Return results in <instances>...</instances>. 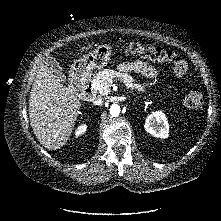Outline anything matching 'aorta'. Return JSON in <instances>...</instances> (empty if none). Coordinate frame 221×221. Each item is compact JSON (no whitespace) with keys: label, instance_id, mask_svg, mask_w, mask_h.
<instances>
[{"label":"aorta","instance_id":"762f6f07","mask_svg":"<svg viewBox=\"0 0 221 221\" xmlns=\"http://www.w3.org/2000/svg\"><path fill=\"white\" fill-rule=\"evenodd\" d=\"M120 113V106L117 105V104H113L111 107H110V114L113 116V117H116L118 116Z\"/></svg>","mask_w":221,"mask_h":221}]
</instances>
